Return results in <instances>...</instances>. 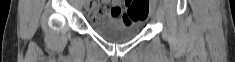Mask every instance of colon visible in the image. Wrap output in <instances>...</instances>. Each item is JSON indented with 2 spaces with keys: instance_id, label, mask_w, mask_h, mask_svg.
Here are the masks:
<instances>
[{
  "instance_id": "5ec220e1",
  "label": "colon",
  "mask_w": 235,
  "mask_h": 62,
  "mask_svg": "<svg viewBox=\"0 0 235 62\" xmlns=\"http://www.w3.org/2000/svg\"><path fill=\"white\" fill-rule=\"evenodd\" d=\"M125 16L126 20L132 23L144 19L146 17V8L143 5L142 1L139 0L132 1V3L127 8Z\"/></svg>"
}]
</instances>
